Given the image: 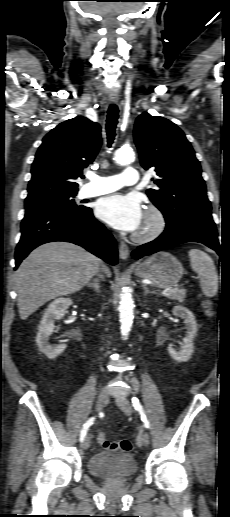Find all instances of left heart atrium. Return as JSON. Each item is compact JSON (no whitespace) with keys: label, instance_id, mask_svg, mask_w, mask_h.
Listing matches in <instances>:
<instances>
[{"label":"left heart atrium","instance_id":"left-heart-atrium-1","mask_svg":"<svg viewBox=\"0 0 230 517\" xmlns=\"http://www.w3.org/2000/svg\"><path fill=\"white\" fill-rule=\"evenodd\" d=\"M97 216L115 229L138 230L144 219L140 199L135 195L115 194L102 198L96 207Z\"/></svg>","mask_w":230,"mask_h":517}]
</instances>
